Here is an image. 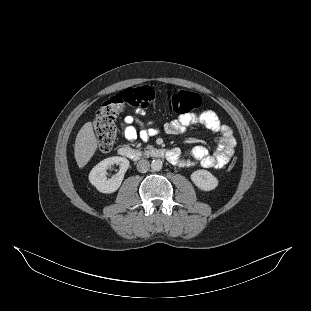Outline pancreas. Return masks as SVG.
<instances>
[{"label": "pancreas", "mask_w": 311, "mask_h": 311, "mask_svg": "<svg viewBox=\"0 0 311 311\" xmlns=\"http://www.w3.org/2000/svg\"><path fill=\"white\" fill-rule=\"evenodd\" d=\"M154 147L152 146V145H148L147 147H146V149H148V150H152Z\"/></svg>", "instance_id": "pancreas-1"}]
</instances>
